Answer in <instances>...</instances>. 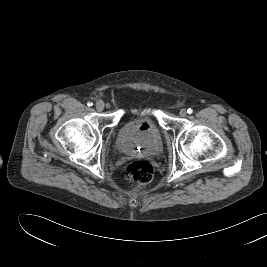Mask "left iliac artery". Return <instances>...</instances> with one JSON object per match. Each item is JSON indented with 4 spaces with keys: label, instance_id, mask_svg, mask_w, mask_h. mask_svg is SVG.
Instances as JSON below:
<instances>
[{
    "label": "left iliac artery",
    "instance_id": "left-iliac-artery-1",
    "mask_svg": "<svg viewBox=\"0 0 267 267\" xmlns=\"http://www.w3.org/2000/svg\"><path fill=\"white\" fill-rule=\"evenodd\" d=\"M187 113H188V114H192V113H193V109L189 108V109L187 110Z\"/></svg>",
    "mask_w": 267,
    "mask_h": 267
}]
</instances>
